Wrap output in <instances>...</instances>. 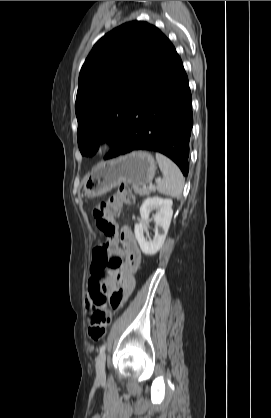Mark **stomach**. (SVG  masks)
I'll use <instances>...</instances> for the list:
<instances>
[{
	"instance_id": "stomach-1",
	"label": "stomach",
	"mask_w": 271,
	"mask_h": 418,
	"mask_svg": "<svg viewBox=\"0 0 271 418\" xmlns=\"http://www.w3.org/2000/svg\"><path fill=\"white\" fill-rule=\"evenodd\" d=\"M156 168L153 156L145 151L101 162L86 177L85 194L90 198L99 197L121 183L146 185L154 178Z\"/></svg>"
}]
</instances>
